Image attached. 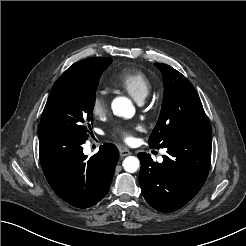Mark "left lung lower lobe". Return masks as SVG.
<instances>
[{
    "instance_id": "1",
    "label": "left lung lower lobe",
    "mask_w": 246,
    "mask_h": 246,
    "mask_svg": "<svg viewBox=\"0 0 246 246\" xmlns=\"http://www.w3.org/2000/svg\"><path fill=\"white\" fill-rule=\"evenodd\" d=\"M162 163L149 154L139 153V182L142 194L151 207L171 212L183 207L204 185L211 161V138L175 139Z\"/></svg>"
}]
</instances>
